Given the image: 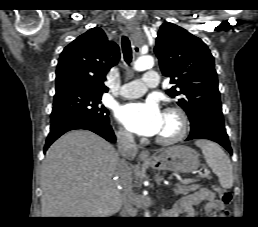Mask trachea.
Here are the masks:
<instances>
[{"label": "trachea", "mask_w": 258, "mask_h": 227, "mask_svg": "<svg viewBox=\"0 0 258 227\" xmlns=\"http://www.w3.org/2000/svg\"><path fill=\"white\" fill-rule=\"evenodd\" d=\"M122 51L126 63H130L132 60V49L130 40L126 36L122 37Z\"/></svg>", "instance_id": "obj_1"}]
</instances>
